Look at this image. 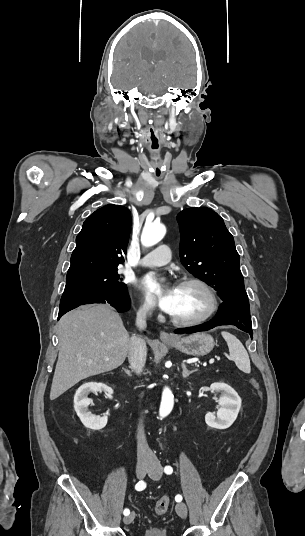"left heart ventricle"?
<instances>
[{
    "mask_svg": "<svg viewBox=\"0 0 305 536\" xmlns=\"http://www.w3.org/2000/svg\"><path fill=\"white\" fill-rule=\"evenodd\" d=\"M211 308V297L195 284L178 285L172 314L181 317H200Z\"/></svg>",
    "mask_w": 305,
    "mask_h": 536,
    "instance_id": "obj_1",
    "label": "left heart ventricle"
}]
</instances>
